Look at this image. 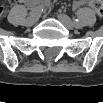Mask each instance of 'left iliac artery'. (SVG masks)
<instances>
[{
    "mask_svg": "<svg viewBox=\"0 0 103 103\" xmlns=\"http://www.w3.org/2000/svg\"><path fill=\"white\" fill-rule=\"evenodd\" d=\"M74 23H75L76 25H79V20H78V19H74Z\"/></svg>",
    "mask_w": 103,
    "mask_h": 103,
    "instance_id": "1",
    "label": "left iliac artery"
}]
</instances>
